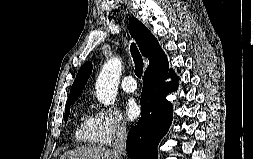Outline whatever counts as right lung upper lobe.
Returning a JSON list of instances; mask_svg holds the SVG:
<instances>
[{"label":"right lung upper lobe","mask_w":253,"mask_h":159,"mask_svg":"<svg viewBox=\"0 0 253 159\" xmlns=\"http://www.w3.org/2000/svg\"><path fill=\"white\" fill-rule=\"evenodd\" d=\"M129 30L132 37L136 40L142 55L150 61L145 72H159L168 69L167 57L161 49L157 39L138 19H130ZM91 72L92 64L91 62H86L78 71L67 101L79 97Z\"/></svg>","instance_id":"cb5924a9"}]
</instances>
